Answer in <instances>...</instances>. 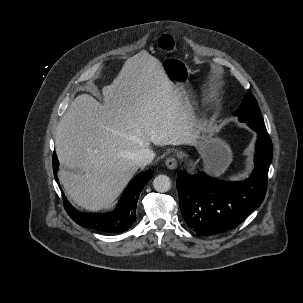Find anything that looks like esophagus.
<instances>
[{"label": "esophagus", "instance_id": "34e87169", "mask_svg": "<svg viewBox=\"0 0 303 303\" xmlns=\"http://www.w3.org/2000/svg\"><path fill=\"white\" fill-rule=\"evenodd\" d=\"M165 165L168 169L173 170L177 167V160L174 157H169L165 161Z\"/></svg>", "mask_w": 303, "mask_h": 303}]
</instances>
